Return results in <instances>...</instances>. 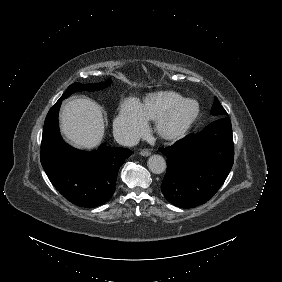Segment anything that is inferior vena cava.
Returning a JSON list of instances; mask_svg holds the SVG:
<instances>
[{
	"label": "inferior vena cava",
	"mask_w": 282,
	"mask_h": 282,
	"mask_svg": "<svg viewBox=\"0 0 282 282\" xmlns=\"http://www.w3.org/2000/svg\"><path fill=\"white\" fill-rule=\"evenodd\" d=\"M113 136L117 143L125 146L136 145L139 141L136 134L123 126H114Z\"/></svg>",
	"instance_id": "inferior-vena-cava-1"
}]
</instances>
